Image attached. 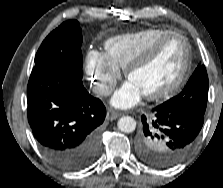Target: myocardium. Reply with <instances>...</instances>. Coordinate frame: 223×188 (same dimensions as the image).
Here are the masks:
<instances>
[{
    "mask_svg": "<svg viewBox=\"0 0 223 188\" xmlns=\"http://www.w3.org/2000/svg\"><path fill=\"white\" fill-rule=\"evenodd\" d=\"M172 36H178L184 42L185 54H184V61H183L182 67L176 79L172 83H170L168 86L162 88L159 91L145 94V98L150 101H158V100L171 97L172 95L177 93L181 89L183 84L185 83L189 75V71L191 67V59H192V50H191V45L188 38L180 31H176V30L167 31L164 34L157 37L155 40H153L148 46L143 48L124 69L125 76L126 78L129 79L131 73L136 68H138L143 63H145L156 52V50L169 37H172Z\"/></svg>",
    "mask_w": 223,
    "mask_h": 188,
    "instance_id": "1",
    "label": "myocardium"
}]
</instances>
